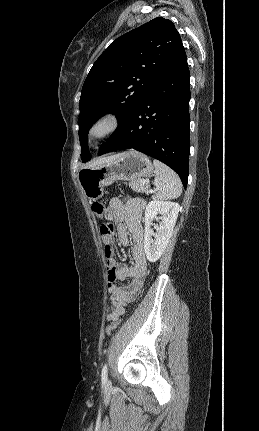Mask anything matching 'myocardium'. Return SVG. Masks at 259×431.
<instances>
[{
	"label": "myocardium",
	"mask_w": 259,
	"mask_h": 431,
	"mask_svg": "<svg viewBox=\"0 0 259 431\" xmlns=\"http://www.w3.org/2000/svg\"><path fill=\"white\" fill-rule=\"evenodd\" d=\"M122 124V116L115 108H106L95 116L88 128V137L102 141L115 134Z\"/></svg>",
	"instance_id": "obj_1"
}]
</instances>
